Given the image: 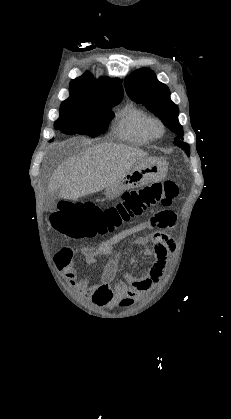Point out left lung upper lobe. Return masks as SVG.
Segmentation results:
<instances>
[{"label":"left lung upper lobe","instance_id":"1","mask_svg":"<svg viewBox=\"0 0 231 419\" xmlns=\"http://www.w3.org/2000/svg\"><path fill=\"white\" fill-rule=\"evenodd\" d=\"M125 89L131 99L146 105L166 127L176 133L174 144L189 156V145L182 141L183 128L178 121V106L171 101L169 88L157 80L155 73L146 68L134 71L125 79Z\"/></svg>","mask_w":231,"mask_h":419}]
</instances>
